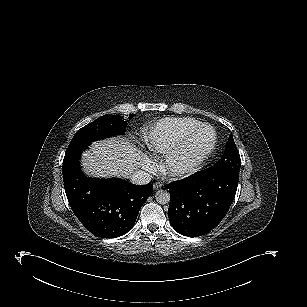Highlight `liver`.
Returning a JSON list of instances; mask_svg holds the SVG:
<instances>
[{
	"mask_svg": "<svg viewBox=\"0 0 307 307\" xmlns=\"http://www.w3.org/2000/svg\"><path fill=\"white\" fill-rule=\"evenodd\" d=\"M138 156L135 148L122 139H108L95 142L83 152L81 165L89 177L128 178L137 168Z\"/></svg>",
	"mask_w": 307,
	"mask_h": 307,
	"instance_id": "1",
	"label": "liver"
}]
</instances>
